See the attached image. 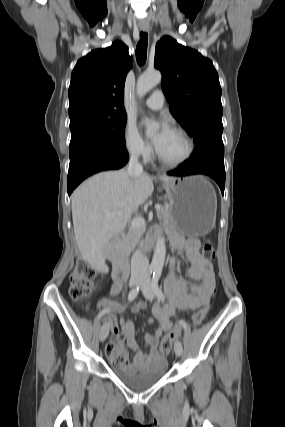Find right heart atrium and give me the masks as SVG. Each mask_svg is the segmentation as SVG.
<instances>
[{"label":"right heart atrium","instance_id":"right-heart-atrium-1","mask_svg":"<svg viewBox=\"0 0 285 427\" xmlns=\"http://www.w3.org/2000/svg\"><path fill=\"white\" fill-rule=\"evenodd\" d=\"M124 147L129 155L134 158L148 160L151 157V147L140 134L133 122H127L123 134Z\"/></svg>","mask_w":285,"mask_h":427}]
</instances>
